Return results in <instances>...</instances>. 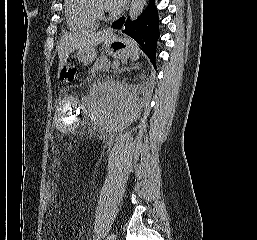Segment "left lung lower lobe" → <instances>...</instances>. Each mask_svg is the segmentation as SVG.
Returning <instances> with one entry per match:
<instances>
[{"mask_svg": "<svg viewBox=\"0 0 257 240\" xmlns=\"http://www.w3.org/2000/svg\"><path fill=\"white\" fill-rule=\"evenodd\" d=\"M159 19L154 0H150L148 7L143 14L136 20H125L119 18L112 23L115 29H121L122 32L131 36L142 48L143 52L149 57L150 61L156 68V44L159 38Z\"/></svg>", "mask_w": 257, "mask_h": 240, "instance_id": "obj_1", "label": "left lung lower lobe"}]
</instances>
